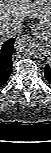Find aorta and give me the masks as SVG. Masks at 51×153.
I'll use <instances>...</instances> for the list:
<instances>
[{
  "mask_svg": "<svg viewBox=\"0 0 51 153\" xmlns=\"http://www.w3.org/2000/svg\"><path fill=\"white\" fill-rule=\"evenodd\" d=\"M15 50L21 54H32L37 52L36 42L29 36H22L16 39Z\"/></svg>",
  "mask_w": 51,
  "mask_h": 153,
  "instance_id": "762f6f07",
  "label": "aorta"
}]
</instances>
